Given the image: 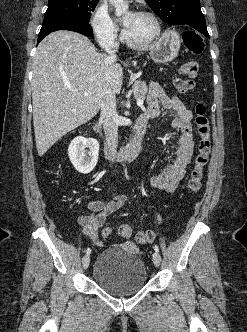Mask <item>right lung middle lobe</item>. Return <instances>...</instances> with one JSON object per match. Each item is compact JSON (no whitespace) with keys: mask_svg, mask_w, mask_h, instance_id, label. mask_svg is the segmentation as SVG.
Here are the masks:
<instances>
[{"mask_svg":"<svg viewBox=\"0 0 247 332\" xmlns=\"http://www.w3.org/2000/svg\"><path fill=\"white\" fill-rule=\"evenodd\" d=\"M96 4L97 0H49L44 17L66 15L89 21Z\"/></svg>","mask_w":247,"mask_h":332,"instance_id":"dd1d6c3e","label":"right lung middle lobe"}]
</instances>
